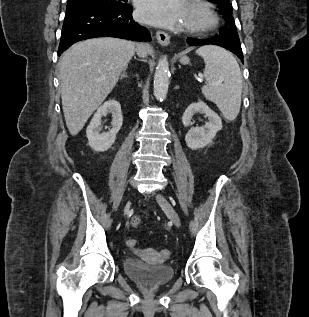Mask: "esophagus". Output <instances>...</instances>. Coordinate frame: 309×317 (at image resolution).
<instances>
[{
  "mask_svg": "<svg viewBox=\"0 0 309 317\" xmlns=\"http://www.w3.org/2000/svg\"><path fill=\"white\" fill-rule=\"evenodd\" d=\"M156 39L162 46H168L170 43V36L164 31H157Z\"/></svg>",
  "mask_w": 309,
  "mask_h": 317,
  "instance_id": "esophagus-1",
  "label": "esophagus"
}]
</instances>
